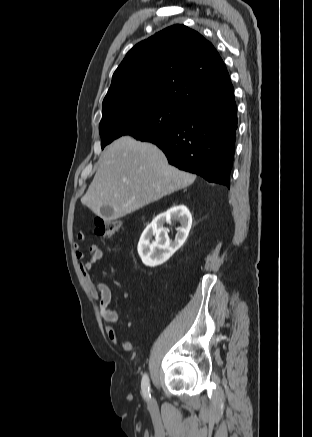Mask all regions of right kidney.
Instances as JSON below:
<instances>
[{
    "mask_svg": "<svg viewBox=\"0 0 312 437\" xmlns=\"http://www.w3.org/2000/svg\"><path fill=\"white\" fill-rule=\"evenodd\" d=\"M177 220L181 227L177 229L175 240L171 242L166 222ZM192 225V216L184 205L174 206L158 215L141 235L138 243V253L146 266L155 267L166 262L186 241ZM155 235V241L150 242Z\"/></svg>",
    "mask_w": 312,
    "mask_h": 437,
    "instance_id": "obj_1",
    "label": "right kidney"
}]
</instances>
